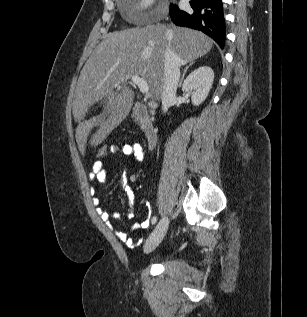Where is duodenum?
I'll use <instances>...</instances> for the list:
<instances>
[{
    "instance_id": "duodenum-1",
    "label": "duodenum",
    "mask_w": 307,
    "mask_h": 317,
    "mask_svg": "<svg viewBox=\"0 0 307 317\" xmlns=\"http://www.w3.org/2000/svg\"><path fill=\"white\" fill-rule=\"evenodd\" d=\"M133 112L139 119L147 145L152 147L156 142L157 134L148 108L144 104L136 102L133 106Z\"/></svg>"
}]
</instances>
